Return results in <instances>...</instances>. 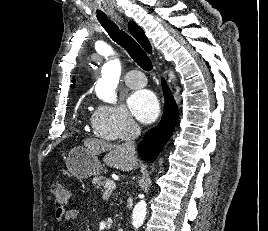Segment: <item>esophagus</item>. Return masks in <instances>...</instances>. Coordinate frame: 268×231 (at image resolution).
Masks as SVG:
<instances>
[{
  "mask_svg": "<svg viewBox=\"0 0 268 231\" xmlns=\"http://www.w3.org/2000/svg\"><path fill=\"white\" fill-rule=\"evenodd\" d=\"M114 19H115L117 22H119V23H122V22H123V19H122L120 16L115 15V16H114Z\"/></svg>",
  "mask_w": 268,
  "mask_h": 231,
  "instance_id": "obj_1",
  "label": "esophagus"
}]
</instances>
